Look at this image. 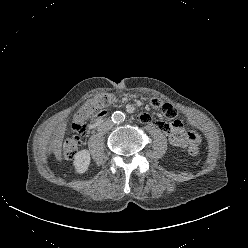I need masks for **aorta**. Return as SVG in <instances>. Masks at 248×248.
<instances>
[{
    "label": "aorta",
    "mask_w": 248,
    "mask_h": 248,
    "mask_svg": "<svg viewBox=\"0 0 248 248\" xmlns=\"http://www.w3.org/2000/svg\"><path fill=\"white\" fill-rule=\"evenodd\" d=\"M125 120V115L121 111H116L112 114V121L114 123H122Z\"/></svg>",
    "instance_id": "1"
}]
</instances>
